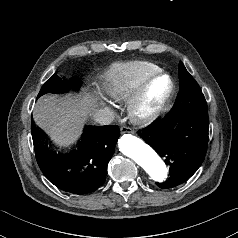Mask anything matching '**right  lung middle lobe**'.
<instances>
[{
    "instance_id": "dd1d6c3e",
    "label": "right lung middle lobe",
    "mask_w": 238,
    "mask_h": 238,
    "mask_svg": "<svg viewBox=\"0 0 238 238\" xmlns=\"http://www.w3.org/2000/svg\"><path fill=\"white\" fill-rule=\"evenodd\" d=\"M78 86V82L75 81H64L56 74H53L49 80H47L42 86L38 97L42 96L46 93H60L68 88H76Z\"/></svg>"
}]
</instances>
